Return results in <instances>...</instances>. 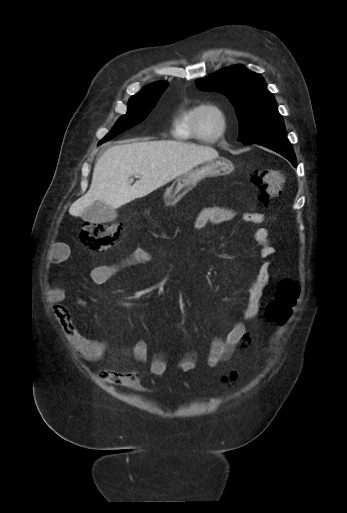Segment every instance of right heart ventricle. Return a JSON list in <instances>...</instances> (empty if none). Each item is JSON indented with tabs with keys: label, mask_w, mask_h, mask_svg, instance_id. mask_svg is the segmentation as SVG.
<instances>
[{
	"label": "right heart ventricle",
	"mask_w": 347,
	"mask_h": 513,
	"mask_svg": "<svg viewBox=\"0 0 347 513\" xmlns=\"http://www.w3.org/2000/svg\"><path fill=\"white\" fill-rule=\"evenodd\" d=\"M199 105L200 104H192L178 111L172 127L174 138L181 141L207 142L204 137L195 134L192 127L196 109Z\"/></svg>",
	"instance_id": "e07e8e85"
}]
</instances>
